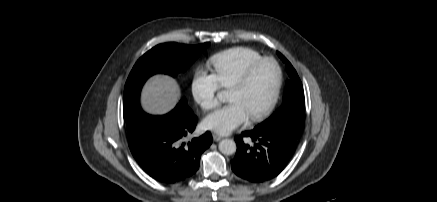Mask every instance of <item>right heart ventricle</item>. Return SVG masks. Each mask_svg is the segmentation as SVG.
<instances>
[{"label": "right heart ventricle", "mask_w": 437, "mask_h": 202, "mask_svg": "<svg viewBox=\"0 0 437 202\" xmlns=\"http://www.w3.org/2000/svg\"><path fill=\"white\" fill-rule=\"evenodd\" d=\"M261 57L251 48L234 47L212 55L209 64L220 86L230 88L246 67Z\"/></svg>", "instance_id": "1"}]
</instances>
